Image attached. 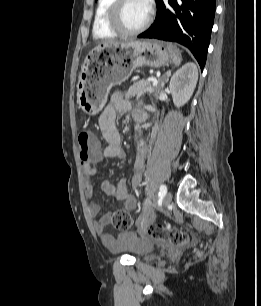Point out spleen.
I'll return each instance as SVG.
<instances>
[{
  "instance_id": "3e777b00",
  "label": "spleen",
  "mask_w": 261,
  "mask_h": 306,
  "mask_svg": "<svg viewBox=\"0 0 261 306\" xmlns=\"http://www.w3.org/2000/svg\"><path fill=\"white\" fill-rule=\"evenodd\" d=\"M168 50L170 52L171 59H172L173 63L176 66L180 65V63L182 61V57H181V53H180L179 49H177L176 47H174L171 44H168Z\"/></svg>"
}]
</instances>
